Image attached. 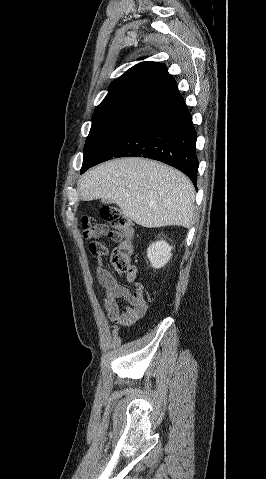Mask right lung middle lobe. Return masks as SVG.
Wrapping results in <instances>:
<instances>
[{
	"label": "right lung middle lobe",
	"instance_id": "right-lung-middle-lobe-1",
	"mask_svg": "<svg viewBox=\"0 0 266 479\" xmlns=\"http://www.w3.org/2000/svg\"><path fill=\"white\" fill-rule=\"evenodd\" d=\"M138 114V111L122 110L93 115L92 127L84 147L81 173L94 162L105 146Z\"/></svg>",
	"mask_w": 266,
	"mask_h": 479
}]
</instances>
